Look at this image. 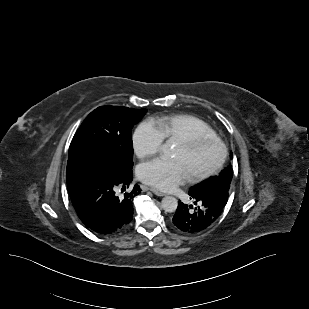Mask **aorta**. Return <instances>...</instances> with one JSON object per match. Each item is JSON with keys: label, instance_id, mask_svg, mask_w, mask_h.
<instances>
[{"label": "aorta", "instance_id": "762f6f07", "mask_svg": "<svg viewBox=\"0 0 309 309\" xmlns=\"http://www.w3.org/2000/svg\"><path fill=\"white\" fill-rule=\"evenodd\" d=\"M172 143L167 141L163 146L162 150L165 154L169 155L171 153ZM178 206V201L173 196H165L161 201V207L165 212L172 213L176 211Z\"/></svg>", "mask_w": 309, "mask_h": 309}]
</instances>
